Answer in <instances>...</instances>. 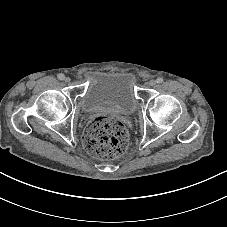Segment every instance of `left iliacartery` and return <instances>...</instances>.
I'll return each mask as SVG.
<instances>
[{
	"instance_id": "1",
	"label": "left iliac artery",
	"mask_w": 227,
	"mask_h": 227,
	"mask_svg": "<svg viewBox=\"0 0 227 227\" xmlns=\"http://www.w3.org/2000/svg\"><path fill=\"white\" fill-rule=\"evenodd\" d=\"M156 81H157V83H159V84H160V83H162V82H163V78H162V77H158Z\"/></svg>"
}]
</instances>
